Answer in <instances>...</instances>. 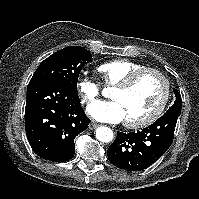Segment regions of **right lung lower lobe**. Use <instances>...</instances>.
I'll use <instances>...</instances> for the list:
<instances>
[{"instance_id":"right-lung-lower-lobe-1","label":"right lung lower lobe","mask_w":199,"mask_h":199,"mask_svg":"<svg viewBox=\"0 0 199 199\" xmlns=\"http://www.w3.org/2000/svg\"><path fill=\"white\" fill-rule=\"evenodd\" d=\"M90 120L77 93L55 78L30 80L25 107V130L34 152L43 159L63 162L75 152V137Z\"/></svg>"}]
</instances>
